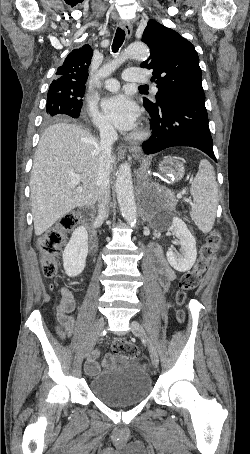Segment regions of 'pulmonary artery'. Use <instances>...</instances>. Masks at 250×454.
Instances as JSON below:
<instances>
[{"instance_id": "obj_1", "label": "pulmonary artery", "mask_w": 250, "mask_h": 454, "mask_svg": "<svg viewBox=\"0 0 250 454\" xmlns=\"http://www.w3.org/2000/svg\"><path fill=\"white\" fill-rule=\"evenodd\" d=\"M122 79L124 82L149 83V79L143 74V72L136 68L127 69L123 73ZM120 84V81L117 79L109 78L105 81L104 86L109 91H116L120 88ZM153 91H157L155 86H153Z\"/></svg>"}]
</instances>
